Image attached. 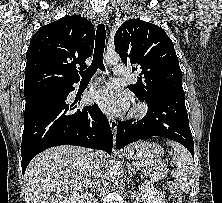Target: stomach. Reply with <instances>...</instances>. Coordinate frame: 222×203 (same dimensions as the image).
<instances>
[{
    "mask_svg": "<svg viewBox=\"0 0 222 203\" xmlns=\"http://www.w3.org/2000/svg\"><path fill=\"white\" fill-rule=\"evenodd\" d=\"M163 148L156 143L140 141L131 144L126 149V157L131 160H154L163 154Z\"/></svg>",
    "mask_w": 222,
    "mask_h": 203,
    "instance_id": "1",
    "label": "stomach"
}]
</instances>
